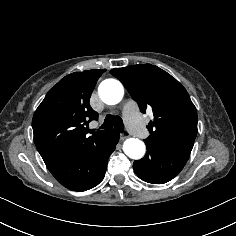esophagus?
Returning <instances> with one entry per match:
<instances>
[{
  "label": "esophagus",
  "mask_w": 236,
  "mask_h": 236,
  "mask_svg": "<svg viewBox=\"0 0 236 236\" xmlns=\"http://www.w3.org/2000/svg\"><path fill=\"white\" fill-rule=\"evenodd\" d=\"M130 136V133L128 131H124L120 134V139L121 140H125L126 138H128Z\"/></svg>",
  "instance_id": "esophagus-1"
}]
</instances>
